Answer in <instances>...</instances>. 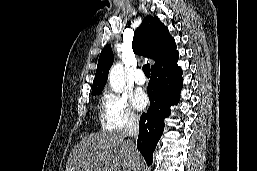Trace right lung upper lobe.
I'll return each instance as SVG.
<instances>
[{"label":"right lung upper lobe","instance_id":"obj_1","mask_svg":"<svg viewBox=\"0 0 257 171\" xmlns=\"http://www.w3.org/2000/svg\"><path fill=\"white\" fill-rule=\"evenodd\" d=\"M132 48L137 54L155 61L151 70L178 60V51L173 37L169 34L167 27L152 16H146L134 32ZM113 60L111 45H106L99 56L92 94L102 92Z\"/></svg>","mask_w":257,"mask_h":171}]
</instances>
